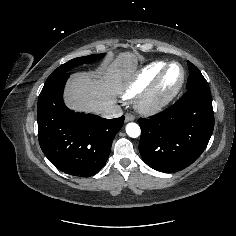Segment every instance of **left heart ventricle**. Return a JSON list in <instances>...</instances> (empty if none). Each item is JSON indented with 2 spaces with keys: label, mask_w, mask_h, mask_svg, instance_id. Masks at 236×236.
<instances>
[{
  "label": "left heart ventricle",
  "mask_w": 236,
  "mask_h": 236,
  "mask_svg": "<svg viewBox=\"0 0 236 236\" xmlns=\"http://www.w3.org/2000/svg\"><path fill=\"white\" fill-rule=\"evenodd\" d=\"M181 78V69L178 65L169 68L159 87V94L164 95L175 88Z\"/></svg>",
  "instance_id": "b2bd125f"
}]
</instances>
